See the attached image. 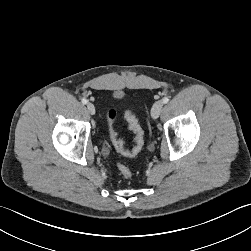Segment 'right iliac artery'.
Segmentation results:
<instances>
[{
	"label": "right iliac artery",
	"instance_id": "1",
	"mask_svg": "<svg viewBox=\"0 0 251 251\" xmlns=\"http://www.w3.org/2000/svg\"><path fill=\"white\" fill-rule=\"evenodd\" d=\"M81 102L83 103V104H87V100L85 99V98H83L82 100H81Z\"/></svg>",
	"mask_w": 251,
	"mask_h": 251
}]
</instances>
